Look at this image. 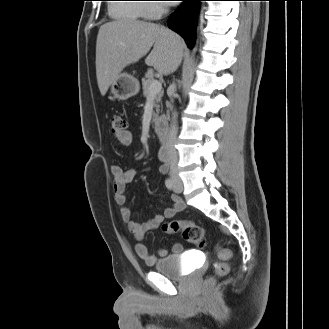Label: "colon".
<instances>
[{"mask_svg":"<svg viewBox=\"0 0 329 329\" xmlns=\"http://www.w3.org/2000/svg\"><path fill=\"white\" fill-rule=\"evenodd\" d=\"M125 130L126 120L118 114L112 115L111 133L114 135H119ZM162 230L167 234H176L180 232L184 240L200 246H205L207 243L203 228L191 221L171 220L162 225ZM216 254L218 261L214 264V276L210 278V281L226 276L230 270V251L218 245L216 247Z\"/></svg>","mask_w":329,"mask_h":329,"instance_id":"obj_1","label":"colon"}]
</instances>
